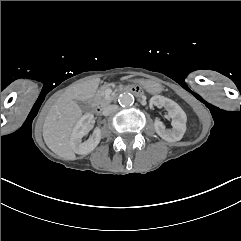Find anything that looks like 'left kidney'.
I'll return each mask as SVG.
<instances>
[{
    "mask_svg": "<svg viewBox=\"0 0 241 241\" xmlns=\"http://www.w3.org/2000/svg\"><path fill=\"white\" fill-rule=\"evenodd\" d=\"M164 107L168 116L172 119V129H166L164 124L156 119L154 123L156 133L168 142H176L182 139L186 131L187 117L182 108L173 100L164 96L155 95L150 99V106Z\"/></svg>",
    "mask_w": 241,
    "mask_h": 241,
    "instance_id": "1",
    "label": "left kidney"
}]
</instances>
